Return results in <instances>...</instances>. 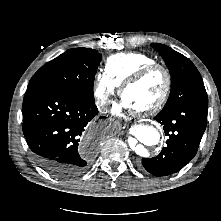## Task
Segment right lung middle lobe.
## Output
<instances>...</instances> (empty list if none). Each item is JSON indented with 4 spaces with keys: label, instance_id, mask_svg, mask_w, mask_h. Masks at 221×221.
I'll return each instance as SVG.
<instances>
[{
    "label": "right lung middle lobe",
    "instance_id": "right-lung-middle-lobe-1",
    "mask_svg": "<svg viewBox=\"0 0 221 221\" xmlns=\"http://www.w3.org/2000/svg\"><path fill=\"white\" fill-rule=\"evenodd\" d=\"M101 54L89 48L69 49L42 66L28 87L44 85L76 98L94 102L93 84Z\"/></svg>",
    "mask_w": 221,
    "mask_h": 221
}]
</instances>
